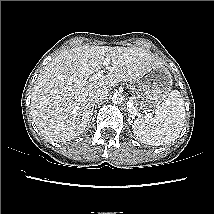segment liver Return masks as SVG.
Returning <instances> with one entry per match:
<instances>
[{
    "instance_id": "6515ba94",
    "label": "liver",
    "mask_w": 214,
    "mask_h": 214,
    "mask_svg": "<svg viewBox=\"0 0 214 214\" xmlns=\"http://www.w3.org/2000/svg\"><path fill=\"white\" fill-rule=\"evenodd\" d=\"M106 75L90 81L104 68ZM163 64L139 47L79 46L60 53L38 75L31 97V114L45 138L66 142L79 136L90 122L91 94L110 91L121 81H132L156 65Z\"/></svg>"
}]
</instances>
